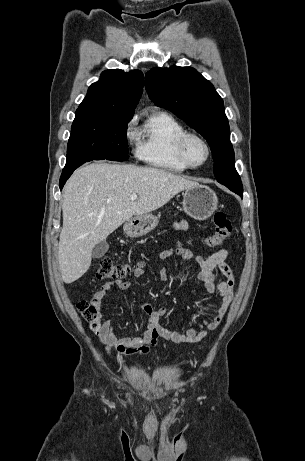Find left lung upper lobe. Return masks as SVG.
Here are the masks:
<instances>
[{
	"label": "left lung upper lobe",
	"instance_id": "obj_1",
	"mask_svg": "<svg viewBox=\"0 0 305 461\" xmlns=\"http://www.w3.org/2000/svg\"><path fill=\"white\" fill-rule=\"evenodd\" d=\"M145 88L157 106L173 112L207 140L217 181L241 196L243 186L235 169L228 119L213 85L194 68L172 66L147 72Z\"/></svg>",
	"mask_w": 305,
	"mask_h": 461
}]
</instances>
